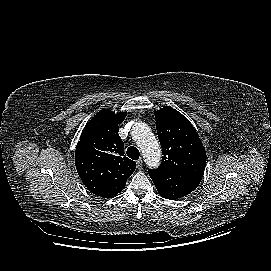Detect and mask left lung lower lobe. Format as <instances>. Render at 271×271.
Instances as JSON below:
<instances>
[{
    "label": "left lung lower lobe",
    "instance_id": "left-lung-lower-lobe-1",
    "mask_svg": "<svg viewBox=\"0 0 271 271\" xmlns=\"http://www.w3.org/2000/svg\"><path fill=\"white\" fill-rule=\"evenodd\" d=\"M171 185L170 190L160 194L162 197L170 200L184 197L197 187L194 183L188 182L182 178H175Z\"/></svg>",
    "mask_w": 271,
    "mask_h": 271
}]
</instances>
